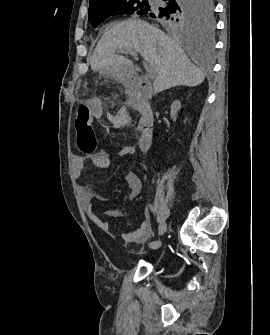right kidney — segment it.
I'll return each instance as SVG.
<instances>
[{"label": "right kidney", "mask_w": 270, "mask_h": 335, "mask_svg": "<svg viewBox=\"0 0 270 335\" xmlns=\"http://www.w3.org/2000/svg\"><path fill=\"white\" fill-rule=\"evenodd\" d=\"M181 108V104L179 102V100H175V102H173L172 106H171V112H170V116L173 120V122H175V120H177V112L178 110H180Z\"/></svg>", "instance_id": "ca27d5eb"}]
</instances>
